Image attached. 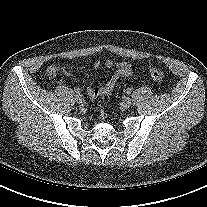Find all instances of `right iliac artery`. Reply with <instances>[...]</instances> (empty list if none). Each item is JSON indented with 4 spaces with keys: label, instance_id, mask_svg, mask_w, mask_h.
<instances>
[{
    "label": "right iliac artery",
    "instance_id": "right-iliac-artery-1",
    "mask_svg": "<svg viewBox=\"0 0 207 207\" xmlns=\"http://www.w3.org/2000/svg\"><path fill=\"white\" fill-rule=\"evenodd\" d=\"M74 91H75L76 94H80V88L75 87V88H74Z\"/></svg>",
    "mask_w": 207,
    "mask_h": 207
}]
</instances>
